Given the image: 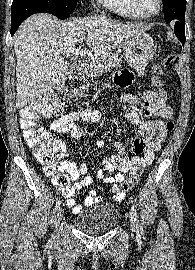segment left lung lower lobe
I'll use <instances>...</instances> for the list:
<instances>
[{"mask_svg":"<svg viewBox=\"0 0 195 270\" xmlns=\"http://www.w3.org/2000/svg\"><path fill=\"white\" fill-rule=\"evenodd\" d=\"M175 27V35L181 41L184 46L185 43V20H175L172 22Z\"/></svg>","mask_w":195,"mask_h":270,"instance_id":"0a47b994","label":"left lung lower lobe"}]
</instances>
